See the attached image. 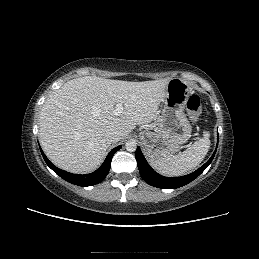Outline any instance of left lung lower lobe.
<instances>
[{
  "label": "left lung lower lobe",
  "mask_w": 259,
  "mask_h": 259,
  "mask_svg": "<svg viewBox=\"0 0 259 259\" xmlns=\"http://www.w3.org/2000/svg\"><path fill=\"white\" fill-rule=\"evenodd\" d=\"M216 150H217V147H216ZM216 150L211 156V158L198 170H196L191 174L181 176V177H174V178L164 177L158 174L157 172H155L147 163L139 147L136 150L135 157L137 160L139 172L145 182H147L148 184L154 187H158L162 189H175L178 187H182L188 184L189 182L193 181L194 179H196L212 162L215 156Z\"/></svg>",
  "instance_id": "obj_1"
}]
</instances>
